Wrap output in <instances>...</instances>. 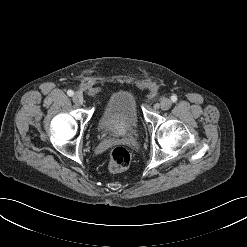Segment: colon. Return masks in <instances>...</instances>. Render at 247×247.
Returning <instances> with one entry per match:
<instances>
[{
	"instance_id": "1",
	"label": "colon",
	"mask_w": 247,
	"mask_h": 247,
	"mask_svg": "<svg viewBox=\"0 0 247 247\" xmlns=\"http://www.w3.org/2000/svg\"><path fill=\"white\" fill-rule=\"evenodd\" d=\"M131 156L124 147L117 146L113 148L109 155V169L112 172H120L128 168Z\"/></svg>"
}]
</instances>
